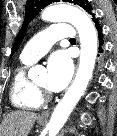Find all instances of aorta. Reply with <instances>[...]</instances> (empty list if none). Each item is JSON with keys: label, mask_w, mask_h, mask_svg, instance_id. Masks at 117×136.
<instances>
[{"label": "aorta", "mask_w": 117, "mask_h": 136, "mask_svg": "<svg viewBox=\"0 0 117 136\" xmlns=\"http://www.w3.org/2000/svg\"><path fill=\"white\" fill-rule=\"evenodd\" d=\"M41 18L50 22H68L78 31L81 43L79 68L76 77L63 99L56 106L49 124L48 136H57L75 105L87 88L92 77L98 51L97 32L91 19L78 8L59 4L47 7ZM42 68L34 66L29 75H36Z\"/></svg>", "instance_id": "aorta-1"}]
</instances>
